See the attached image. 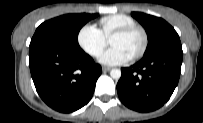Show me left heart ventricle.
<instances>
[{
  "label": "left heart ventricle",
  "instance_id": "b2bd125f",
  "mask_svg": "<svg viewBox=\"0 0 203 123\" xmlns=\"http://www.w3.org/2000/svg\"><path fill=\"white\" fill-rule=\"evenodd\" d=\"M142 43L143 38L139 31H134L124 36H115L110 40L112 46L120 47L131 57L139 51Z\"/></svg>",
  "mask_w": 203,
  "mask_h": 123
}]
</instances>
